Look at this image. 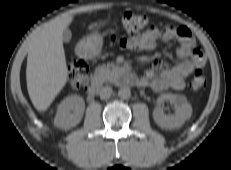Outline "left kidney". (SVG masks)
Here are the masks:
<instances>
[{"label":"left kidney","instance_id":"obj_1","mask_svg":"<svg viewBox=\"0 0 231 170\" xmlns=\"http://www.w3.org/2000/svg\"><path fill=\"white\" fill-rule=\"evenodd\" d=\"M165 101L170 102L175 107V114L168 116L164 114L161 106ZM192 115V107L183 95L162 94L157 99V107L154 109L153 117L158 126L165 129H175L181 127Z\"/></svg>","mask_w":231,"mask_h":170}]
</instances>
